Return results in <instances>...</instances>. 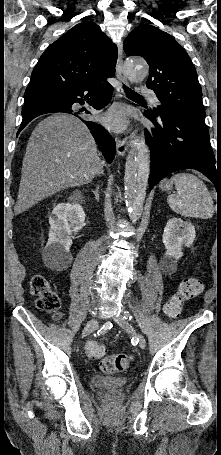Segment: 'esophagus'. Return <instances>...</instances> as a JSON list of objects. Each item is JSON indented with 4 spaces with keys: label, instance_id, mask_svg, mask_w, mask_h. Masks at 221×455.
Wrapping results in <instances>:
<instances>
[{
    "label": "esophagus",
    "instance_id": "34e87169",
    "mask_svg": "<svg viewBox=\"0 0 221 455\" xmlns=\"http://www.w3.org/2000/svg\"><path fill=\"white\" fill-rule=\"evenodd\" d=\"M116 75L119 81V84L116 87L118 95L122 96L124 94L123 85H127V79L123 71V46L122 43L118 46V58L116 64ZM130 146V140L128 138H116V147L117 153L119 156H124L128 151Z\"/></svg>",
    "mask_w": 221,
    "mask_h": 455
}]
</instances>
